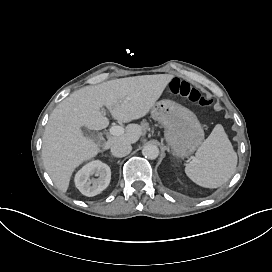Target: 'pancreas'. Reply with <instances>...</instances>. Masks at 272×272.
Masks as SVG:
<instances>
[{
    "label": "pancreas",
    "instance_id": "obj_1",
    "mask_svg": "<svg viewBox=\"0 0 272 272\" xmlns=\"http://www.w3.org/2000/svg\"><path fill=\"white\" fill-rule=\"evenodd\" d=\"M142 128H143L144 130H146V129L148 128V123L143 122V123H142Z\"/></svg>",
    "mask_w": 272,
    "mask_h": 272
}]
</instances>
